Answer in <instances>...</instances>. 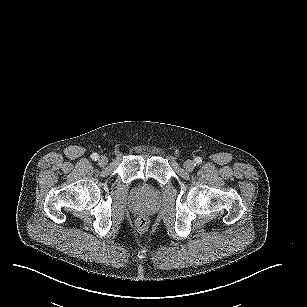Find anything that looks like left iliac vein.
Here are the masks:
<instances>
[{
    "mask_svg": "<svg viewBox=\"0 0 307 307\" xmlns=\"http://www.w3.org/2000/svg\"><path fill=\"white\" fill-rule=\"evenodd\" d=\"M194 162L192 160H186L184 162V168L187 170V171H192L194 169Z\"/></svg>",
    "mask_w": 307,
    "mask_h": 307,
    "instance_id": "4c4485c4",
    "label": "left iliac vein"
}]
</instances>
